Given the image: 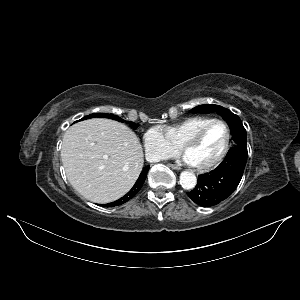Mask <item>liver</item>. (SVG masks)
<instances>
[{"label": "liver", "instance_id": "1", "mask_svg": "<svg viewBox=\"0 0 300 300\" xmlns=\"http://www.w3.org/2000/svg\"><path fill=\"white\" fill-rule=\"evenodd\" d=\"M61 161L73 188L86 199L103 204L121 198L133 187L144 155L129 127L111 119L93 118L65 132Z\"/></svg>", "mask_w": 300, "mask_h": 300}]
</instances>
